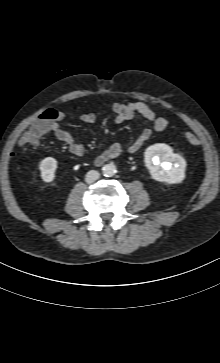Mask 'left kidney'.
Masks as SVG:
<instances>
[{"label": "left kidney", "instance_id": "obj_1", "mask_svg": "<svg viewBox=\"0 0 220 363\" xmlns=\"http://www.w3.org/2000/svg\"><path fill=\"white\" fill-rule=\"evenodd\" d=\"M151 177L160 182L180 183L185 178V160L164 143L149 146L144 154Z\"/></svg>", "mask_w": 220, "mask_h": 363}]
</instances>
